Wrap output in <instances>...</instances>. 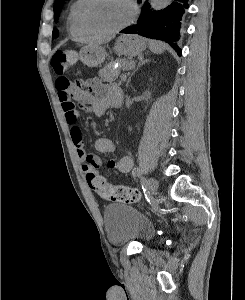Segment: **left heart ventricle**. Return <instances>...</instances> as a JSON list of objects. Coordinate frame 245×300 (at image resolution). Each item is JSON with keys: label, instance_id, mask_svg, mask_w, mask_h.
Segmentation results:
<instances>
[{"label": "left heart ventricle", "instance_id": "left-heart-ventricle-1", "mask_svg": "<svg viewBox=\"0 0 245 300\" xmlns=\"http://www.w3.org/2000/svg\"><path fill=\"white\" fill-rule=\"evenodd\" d=\"M131 15L127 0H93L86 12L88 24L98 30H110L125 23Z\"/></svg>", "mask_w": 245, "mask_h": 300}]
</instances>
